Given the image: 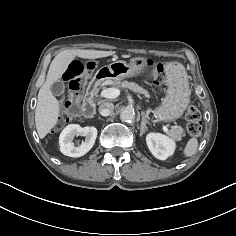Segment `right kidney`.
I'll use <instances>...</instances> for the list:
<instances>
[{"label": "right kidney", "instance_id": "ca27d5eb", "mask_svg": "<svg viewBox=\"0 0 236 236\" xmlns=\"http://www.w3.org/2000/svg\"><path fill=\"white\" fill-rule=\"evenodd\" d=\"M84 136L85 140L78 146L73 143L75 136ZM97 137V129L93 126L81 127L78 124H70L64 128L59 137L60 150L70 157L85 155L94 145Z\"/></svg>", "mask_w": 236, "mask_h": 236}]
</instances>
